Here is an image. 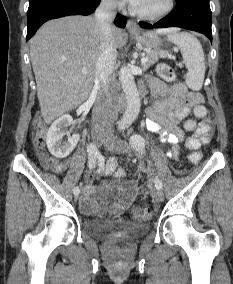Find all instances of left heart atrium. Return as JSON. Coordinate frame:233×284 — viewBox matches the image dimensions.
<instances>
[{"label":"left heart atrium","instance_id":"39dd6f15","mask_svg":"<svg viewBox=\"0 0 233 284\" xmlns=\"http://www.w3.org/2000/svg\"><path fill=\"white\" fill-rule=\"evenodd\" d=\"M127 2H129L130 4H132L133 6H136L137 4L140 3L141 0H125Z\"/></svg>","mask_w":233,"mask_h":284}]
</instances>
